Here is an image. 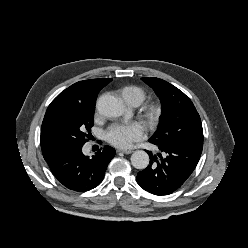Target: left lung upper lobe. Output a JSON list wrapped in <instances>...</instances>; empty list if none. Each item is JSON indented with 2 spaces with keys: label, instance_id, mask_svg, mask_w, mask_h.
<instances>
[{
  "label": "left lung upper lobe",
  "instance_id": "5c2ea615",
  "mask_svg": "<svg viewBox=\"0 0 248 248\" xmlns=\"http://www.w3.org/2000/svg\"><path fill=\"white\" fill-rule=\"evenodd\" d=\"M153 88L161 102L162 112L151 143H181L203 147L200 116L192 101L178 88L159 78H142Z\"/></svg>",
  "mask_w": 248,
  "mask_h": 248
}]
</instances>
